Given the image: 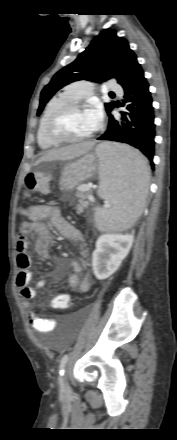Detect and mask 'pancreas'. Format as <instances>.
<instances>
[{
  "label": "pancreas",
  "instance_id": "1",
  "mask_svg": "<svg viewBox=\"0 0 177 440\" xmlns=\"http://www.w3.org/2000/svg\"><path fill=\"white\" fill-rule=\"evenodd\" d=\"M90 195H91L90 192H88V193H86V192H79V193L77 194V196L80 198V200H79V204H78L77 207H76V211H77V213H81V212H83V210H84L85 208H87V206H88V202L85 201V199H86L87 197H89Z\"/></svg>",
  "mask_w": 177,
  "mask_h": 440
}]
</instances>
